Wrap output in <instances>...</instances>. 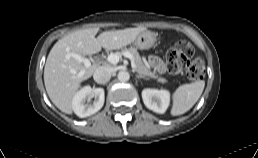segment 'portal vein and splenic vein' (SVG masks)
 <instances>
[{
	"instance_id": "obj_1",
	"label": "portal vein and splenic vein",
	"mask_w": 258,
	"mask_h": 158,
	"mask_svg": "<svg viewBox=\"0 0 258 158\" xmlns=\"http://www.w3.org/2000/svg\"><path fill=\"white\" fill-rule=\"evenodd\" d=\"M123 55L125 57H127L130 61H131V67L132 69L135 71L136 70V66H135V63H134V59H133V56L128 53V52H125L123 53ZM68 58L72 57L76 60H78L79 62L83 63L84 66L86 68H88L90 65H91V62L88 58H85L77 53H69L67 55ZM107 61L110 63V64H117L119 62V56L117 54H110L108 57H107Z\"/></svg>"
}]
</instances>
